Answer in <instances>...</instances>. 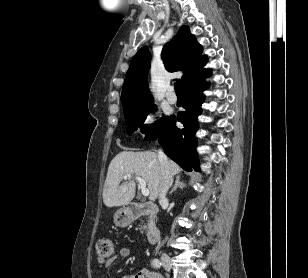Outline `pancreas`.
<instances>
[{"label":"pancreas","instance_id":"1","mask_svg":"<svg viewBox=\"0 0 308 278\" xmlns=\"http://www.w3.org/2000/svg\"><path fill=\"white\" fill-rule=\"evenodd\" d=\"M141 229L145 230V229H147V226L146 225L141 226Z\"/></svg>","mask_w":308,"mask_h":278}]
</instances>
